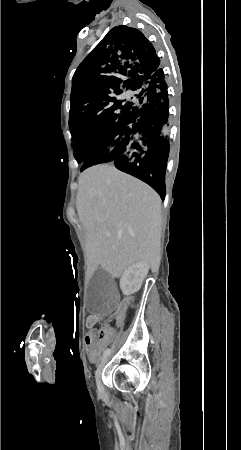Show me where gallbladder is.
I'll return each instance as SVG.
<instances>
[{"instance_id":"obj_1","label":"gallbladder","mask_w":241,"mask_h":450,"mask_svg":"<svg viewBox=\"0 0 241 450\" xmlns=\"http://www.w3.org/2000/svg\"><path fill=\"white\" fill-rule=\"evenodd\" d=\"M86 310L91 315H114L118 308L117 283L108 270H95L86 294Z\"/></svg>"}]
</instances>
